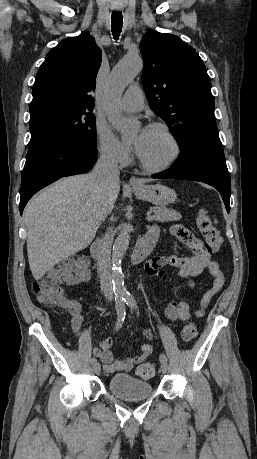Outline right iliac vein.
Segmentation results:
<instances>
[{"instance_id":"obj_1","label":"right iliac vein","mask_w":257,"mask_h":459,"mask_svg":"<svg viewBox=\"0 0 257 459\" xmlns=\"http://www.w3.org/2000/svg\"><path fill=\"white\" fill-rule=\"evenodd\" d=\"M93 371H94V373H96V374H99V373H100V371H101V366H100L99 363H96V364L93 365Z\"/></svg>"}]
</instances>
